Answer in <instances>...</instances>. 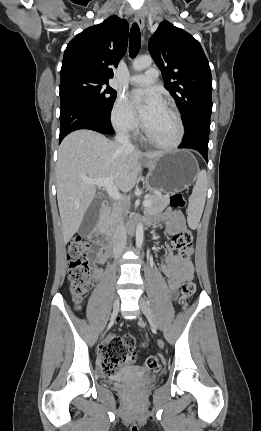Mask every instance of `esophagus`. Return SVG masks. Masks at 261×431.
Wrapping results in <instances>:
<instances>
[{
    "instance_id": "34e87169",
    "label": "esophagus",
    "mask_w": 261,
    "mask_h": 431,
    "mask_svg": "<svg viewBox=\"0 0 261 431\" xmlns=\"http://www.w3.org/2000/svg\"><path fill=\"white\" fill-rule=\"evenodd\" d=\"M134 17H135V20H136L139 28L143 31L145 22H144V17L142 15V13L140 11H135Z\"/></svg>"
}]
</instances>
